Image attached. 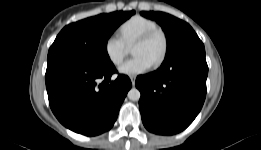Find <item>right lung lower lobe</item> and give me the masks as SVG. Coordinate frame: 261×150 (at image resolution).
I'll list each match as a JSON object with an SVG mask.
<instances>
[{
    "instance_id": "1",
    "label": "right lung lower lobe",
    "mask_w": 261,
    "mask_h": 150,
    "mask_svg": "<svg viewBox=\"0 0 261 150\" xmlns=\"http://www.w3.org/2000/svg\"><path fill=\"white\" fill-rule=\"evenodd\" d=\"M113 63L99 65L73 61L47 64L45 75L50 107L68 129L86 136L108 131L132 84L125 75L111 79Z\"/></svg>"
}]
</instances>
